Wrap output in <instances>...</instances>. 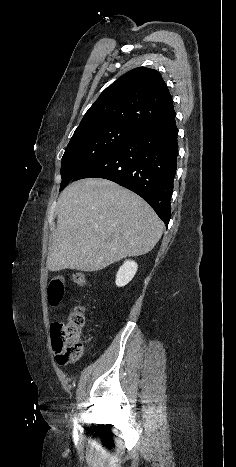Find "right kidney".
Instances as JSON below:
<instances>
[{
  "label": "right kidney",
  "instance_id": "obj_1",
  "mask_svg": "<svg viewBox=\"0 0 236 467\" xmlns=\"http://www.w3.org/2000/svg\"><path fill=\"white\" fill-rule=\"evenodd\" d=\"M138 265L131 260H127L124 264L119 268L117 275H116V285L118 287H123L127 285L134 275L137 272Z\"/></svg>",
  "mask_w": 236,
  "mask_h": 467
}]
</instances>
